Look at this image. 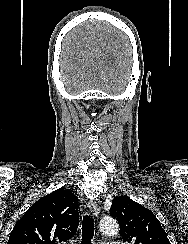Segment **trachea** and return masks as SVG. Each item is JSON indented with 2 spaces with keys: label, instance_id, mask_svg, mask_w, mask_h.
Masks as SVG:
<instances>
[{
  "label": "trachea",
  "instance_id": "trachea-1",
  "mask_svg": "<svg viewBox=\"0 0 188 244\" xmlns=\"http://www.w3.org/2000/svg\"><path fill=\"white\" fill-rule=\"evenodd\" d=\"M94 219L91 215H85L82 223V244H91L94 236Z\"/></svg>",
  "mask_w": 188,
  "mask_h": 244
}]
</instances>
